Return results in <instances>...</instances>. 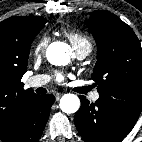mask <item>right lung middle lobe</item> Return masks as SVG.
Here are the masks:
<instances>
[{
  "instance_id": "obj_1",
  "label": "right lung middle lobe",
  "mask_w": 142,
  "mask_h": 142,
  "mask_svg": "<svg viewBox=\"0 0 142 142\" xmlns=\"http://www.w3.org/2000/svg\"><path fill=\"white\" fill-rule=\"evenodd\" d=\"M44 26H45V24L42 25V26H40L39 28H37V29L35 30V32L32 34V36H31V38H30V40H29L28 48H30L31 43H32L34 37L40 32V30H41Z\"/></svg>"
}]
</instances>
